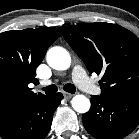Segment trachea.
Segmentation results:
<instances>
[{"instance_id":"1","label":"trachea","mask_w":139,"mask_h":139,"mask_svg":"<svg viewBox=\"0 0 139 139\" xmlns=\"http://www.w3.org/2000/svg\"><path fill=\"white\" fill-rule=\"evenodd\" d=\"M63 88H64V90H65L66 92H69V93H72V94H74L75 91H76L75 86H74L73 84H71V83L65 84ZM42 90H43L47 95H51V94L56 93V92L58 91V88H57L56 85L53 84V85H49V86H47V87H44Z\"/></svg>"}]
</instances>
